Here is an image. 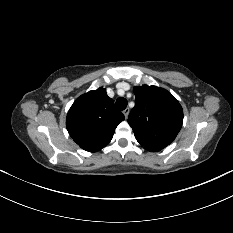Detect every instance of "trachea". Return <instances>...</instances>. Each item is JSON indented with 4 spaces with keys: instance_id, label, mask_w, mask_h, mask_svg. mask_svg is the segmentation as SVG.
<instances>
[{
    "instance_id": "1",
    "label": "trachea",
    "mask_w": 233,
    "mask_h": 233,
    "mask_svg": "<svg viewBox=\"0 0 233 233\" xmlns=\"http://www.w3.org/2000/svg\"><path fill=\"white\" fill-rule=\"evenodd\" d=\"M127 100L125 98H118L116 100V106L119 110H125L127 107Z\"/></svg>"
}]
</instances>
